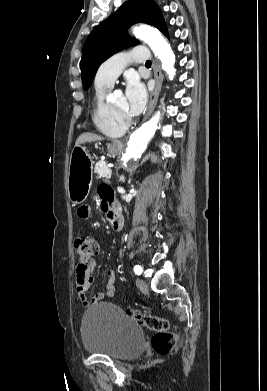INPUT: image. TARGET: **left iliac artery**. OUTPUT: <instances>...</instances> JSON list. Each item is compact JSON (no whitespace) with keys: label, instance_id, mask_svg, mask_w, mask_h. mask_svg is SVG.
<instances>
[{"label":"left iliac artery","instance_id":"left-iliac-artery-1","mask_svg":"<svg viewBox=\"0 0 267 391\" xmlns=\"http://www.w3.org/2000/svg\"><path fill=\"white\" fill-rule=\"evenodd\" d=\"M134 272L137 274V275H140L142 273V267L139 266V265H136L134 267Z\"/></svg>","mask_w":267,"mask_h":391}]
</instances>
